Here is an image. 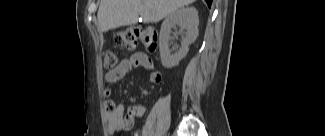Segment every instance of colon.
Returning a JSON list of instances; mask_svg holds the SVG:
<instances>
[{
	"instance_id": "1",
	"label": "colon",
	"mask_w": 325,
	"mask_h": 136,
	"mask_svg": "<svg viewBox=\"0 0 325 136\" xmlns=\"http://www.w3.org/2000/svg\"><path fill=\"white\" fill-rule=\"evenodd\" d=\"M115 42L127 50H135L139 46L145 47L153 52L157 47V32L155 28L147 26H131L119 31L115 35ZM119 64V58L113 50H107L104 53L103 68L107 72L113 70Z\"/></svg>"
}]
</instances>
